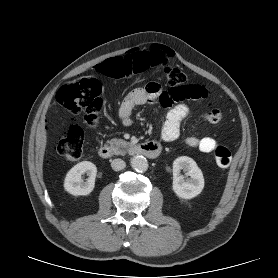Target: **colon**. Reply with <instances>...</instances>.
Masks as SVG:
<instances>
[{
    "instance_id": "obj_1",
    "label": "colon",
    "mask_w": 278,
    "mask_h": 278,
    "mask_svg": "<svg viewBox=\"0 0 278 278\" xmlns=\"http://www.w3.org/2000/svg\"><path fill=\"white\" fill-rule=\"evenodd\" d=\"M165 63L163 51L155 48L108 59L98 64L96 71L104 77L120 80L139 75L153 67L164 66ZM164 74L166 84L172 88L171 92L176 100L205 99V88L198 84H186V75L180 69L167 66L164 68ZM101 94L102 86L97 78H84L62 86L57 93V101L74 116L83 113L86 125L95 127L99 123L103 107ZM57 152L69 161L79 160L83 152V130L79 126H73L67 137L58 144ZM214 159L219 167L227 168L232 155L227 147L217 145Z\"/></svg>"
}]
</instances>
